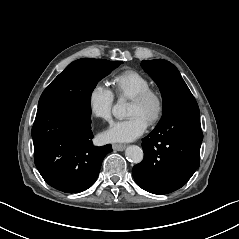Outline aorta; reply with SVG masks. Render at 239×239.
Returning a JSON list of instances; mask_svg holds the SVG:
<instances>
[{
    "label": "aorta",
    "mask_w": 239,
    "mask_h": 239,
    "mask_svg": "<svg viewBox=\"0 0 239 239\" xmlns=\"http://www.w3.org/2000/svg\"><path fill=\"white\" fill-rule=\"evenodd\" d=\"M130 106L131 103L127 99L119 98L111 109L112 115L119 120L126 119L128 117V108ZM125 156L134 164H139L142 162L144 154L140 147L129 146L126 149Z\"/></svg>",
    "instance_id": "1"
}]
</instances>
